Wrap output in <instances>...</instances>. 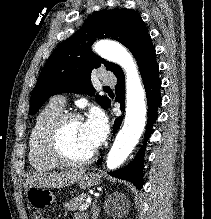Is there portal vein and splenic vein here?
<instances>
[{
  "instance_id": "obj_1",
  "label": "portal vein and splenic vein",
  "mask_w": 211,
  "mask_h": 219,
  "mask_svg": "<svg viewBox=\"0 0 211 219\" xmlns=\"http://www.w3.org/2000/svg\"><path fill=\"white\" fill-rule=\"evenodd\" d=\"M90 202H91V198H88V199H87V202L84 203V204L80 207L79 210H80V211H84V210H86V209L89 207Z\"/></svg>"
}]
</instances>
